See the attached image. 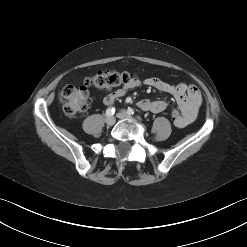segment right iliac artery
I'll use <instances>...</instances> for the list:
<instances>
[{
  "instance_id": "obj_1",
  "label": "right iliac artery",
  "mask_w": 247,
  "mask_h": 247,
  "mask_svg": "<svg viewBox=\"0 0 247 247\" xmlns=\"http://www.w3.org/2000/svg\"><path fill=\"white\" fill-rule=\"evenodd\" d=\"M115 113V108L114 107H109L107 110H106V115L109 117V116H112L113 114Z\"/></svg>"
}]
</instances>
